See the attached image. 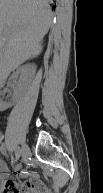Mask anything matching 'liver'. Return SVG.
I'll use <instances>...</instances> for the list:
<instances>
[{
	"mask_svg": "<svg viewBox=\"0 0 103 193\" xmlns=\"http://www.w3.org/2000/svg\"><path fill=\"white\" fill-rule=\"evenodd\" d=\"M53 14L48 0H0V76L42 52Z\"/></svg>",
	"mask_w": 103,
	"mask_h": 193,
	"instance_id": "6515ba94",
	"label": "liver"
}]
</instances>
